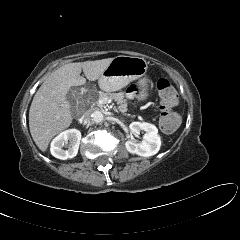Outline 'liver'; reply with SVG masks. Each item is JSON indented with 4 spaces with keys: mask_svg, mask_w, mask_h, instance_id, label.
<instances>
[{
    "mask_svg": "<svg viewBox=\"0 0 240 240\" xmlns=\"http://www.w3.org/2000/svg\"><path fill=\"white\" fill-rule=\"evenodd\" d=\"M114 58L66 64L43 82L36 92L29 110L31 136L41 151H46L51 139L72 123L71 104L67 93L72 86L100 78Z\"/></svg>",
    "mask_w": 240,
    "mask_h": 240,
    "instance_id": "obj_1",
    "label": "liver"
}]
</instances>
